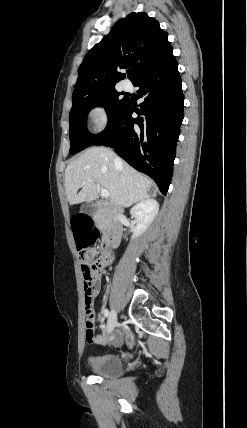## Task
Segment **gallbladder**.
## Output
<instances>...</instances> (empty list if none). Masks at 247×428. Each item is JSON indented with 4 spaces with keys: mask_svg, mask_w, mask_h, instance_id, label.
I'll use <instances>...</instances> for the list:
<instances>
[{
    "mask_svg": "<svg viewBox=\"0 0 247 428\" xmlns=\"http://www.w3.org/2000/svg\"><path fill=\"white\" fill-rule=\"evenodd\" d=\"M80 210L83 213L93 216L95 215L97 209L93 204L87 202L81 206Z\"/></svg>",
    "mask_w": 247,
    "mask_h": 428,
    "instance_id": "gallbladder-1",
    "label": "gallbladder"
}]
</instances>
